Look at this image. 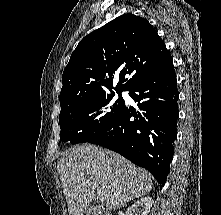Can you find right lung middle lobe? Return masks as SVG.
<instances>
[{
  "label": "right lung middle lobe",
  "instance_id": "right-lung-middle-lobe-1",
  "mask_svg": "<svg viewBox=\"0 0 221 215\" xmlns=\"http://www.w3.org/2000/svg\"><path fill=\"white\" fill-rule=\"evenodd\" d=\"M118 94L116 101L113 100V92L62 107L59 115L60 139L72 144L84 143L108 131L125 106L121 93Z\"/></svg>",
  "mask_w": 221,
  "mask_h": 215
}]
</instances>
